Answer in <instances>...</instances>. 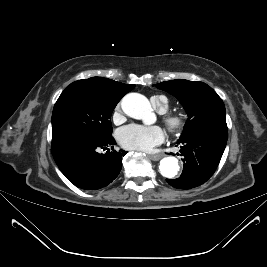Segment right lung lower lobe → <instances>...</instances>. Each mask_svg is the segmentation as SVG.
Segmentation results:
<instances>
[{
  "instance_id": "98d812e1",
  "label": "right lung lower lobe",
  "mask_w": 267,
  "mask_h": 267,
  "mask_svg": "<svg viewBox=\"0 0 267 267\" xmlns=\"http://www.w3.org/2000/svg\"><path fill=\"white\" fill-rule=\"evenodd\" d=\"M113 137L91 139L71 136L52 142L51 151L61 172L78 188L98 190L109 185L120 173L124 150L115 151ZM100 154V149L106 150Z\"/></svg>"
}]
</instances>
